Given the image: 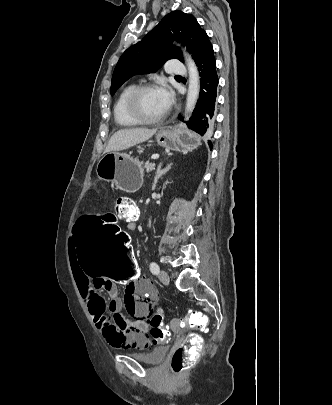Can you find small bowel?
Listing matches in <instances>:
<instances>
[{"label": "small bowel", "instance_id": "c3829d8e", "mask_svg": "<svg viewBox=\"0 0 332 405\" xmlns=\"http://www.w3.org/2000/svg\"><path fill=\"white\" fill-rule=\"evenodd\" d=\"M127 225L132 229L130 220ZM76 250L74 239L68 249L73 275L89 313L107 343L115 348H131L132 353H147L151 340L141 337L148 336L150 325H146L145 318L151 315L150 311L158 301L159 289L148 288L150 283L140 279L126 287L122 300L114 281H102L101 275H84V268L76 259ZM101 291L108 293V302L101 296ZM121 310L127 311L133 319L124 318Z\"/></svg>", "mask_w": 332, "mask_h": 405}]
</instances>
